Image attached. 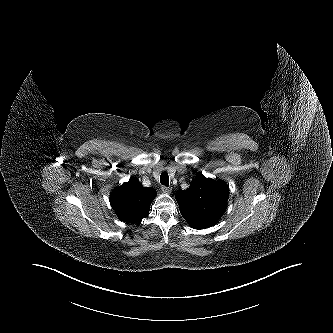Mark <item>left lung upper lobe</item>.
Here are the masks:
<instances>
[{"label":"left lung upper lobe","instance_id":"obj_1","mask_svg":"<svg viewBox=\"0 0 333 333\" xmlns=\"http://www.w3.org/2000/svg\"><path fill=\"white\" fill-rule=\"evenodd\" d=\"M229 187L198 174L186 190H178L176 199L181 215L194 229L215 225L227 207Z\"/></svg>","mask_w":333,"mask_h":333}]
</instances>
